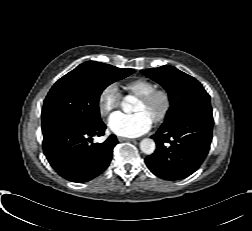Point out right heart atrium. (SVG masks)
<instances>
[{"instance_id":"1","label":"right heart atrium","mask_w":252,"mask_h":231,"mask_svg":"<svg viewBox=\"0 0 252 231\" xmlns=\"http://www.w3.org/2000/svg\"><path fill=\"white\" fill-rule=\"evenodd\" d=\"M121 94L115 83L107 84L97 99L98 111L102 117L111 115L120 105Z\"/></svg>"}]
</instances>
